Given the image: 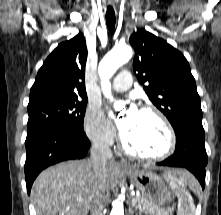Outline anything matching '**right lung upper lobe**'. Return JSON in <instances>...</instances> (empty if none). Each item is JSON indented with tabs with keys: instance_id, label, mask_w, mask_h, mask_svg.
I'll return each mask as SVG.
<instances>
[{
	"instance_id": "obj_1",
	"label": "right lung upper lobe",
	"mask_w": 221,
	"mask_h": 215,
	"mask_svg": "<svg viewBox=\"0 0 221 215\" xmlns=\"http://www.w3.org/2000/svg\"><path fill=\"white\" fill-rule=\"evenodd\" d=\"M86 59L87 47L82 33L59 44L39 69L28 105L80 97L87 99L84 82Z\"/></svg>"
}]
</instances>
